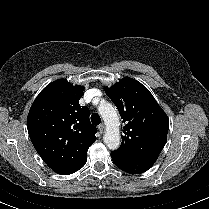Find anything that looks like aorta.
<instances>
[{"mask_svg":"<svg viewBox=\"0 0 209 209\" xmlns=\"http://www.w3.org/2000/svg\"><path fill=\"white\" fill-rule=\"evenodd\" d=\"M99 113L106 125L104 143L110 150H116L121 144L120 119L117 109L110 103H104L99 106Z\"/></svg>","mask_w":209,"mask_h":209,"instance_id":"aorta-1","label":"aorta"}]
</instances>
